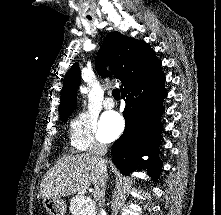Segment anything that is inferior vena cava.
Wrapping results in <instances>:
<instances>
[{
	"label": "inferior vena cava",
	"instance_id": "1",
	"mask_svg": "<svg viewBox=\"0 0 221 215\" xmlns=\"http://www.w3.org/2000/svg\"><path fill=\"white\" fill-rule=\"evenodd\" d=\"M107 153V145L101 143L99 141H94L89 149V154L93 155L99 164V172L97 175V179L95 181V197L100 202H104V195H105V187L107 181V160L104 159L105 154ZM100 215V214H98Z\"/></svg>",
	"mask_w": 221,
	"mask_h": 215
}]
</instances>
